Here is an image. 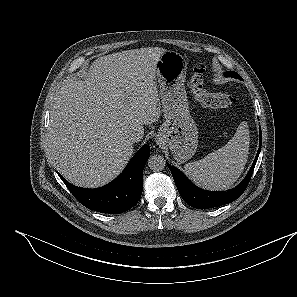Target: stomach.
I'll use <instances>...</instances> for the list:
<instances>
[{
  "mask_svg": "<svg viewBox=\"0 0 297 297\" xmlns=\"http://www.w3.org/2000/svg\"><path fill=\"white\" fill-rule=\"evenodd\" d=\"M187 62L176 51H166L155 67L164 122L157 141L171 150L179 163L188 161L198 147V128L190 114L185 78Z\"/></svg>",
  "mask_w": 297,
  "mask_h": 297,
  "instance_id": "obj_1",
  "label": "stomach"
}]
</instances>
